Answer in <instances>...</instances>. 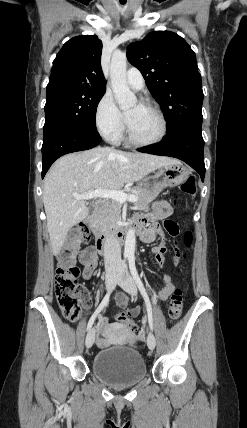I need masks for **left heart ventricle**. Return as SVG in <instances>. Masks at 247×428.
<instances>
[{
	"label": "left heart ventricle",
	"mask_w": 247,
	"mask_h": 428,
	"mask_svg": "<svg viewBox=\"0 0 247 428\" xmlns=\"http://www.w3.org/2000/svg\"><path fill=\"white\" fill-rule=\"evenodd\" d=\"M125 114L131 132L137 139L152 140L159 135L160 121L151 109L133 102L125 109Z\"/></svg>",
	"instance_id": "1"
}]
</instances>
